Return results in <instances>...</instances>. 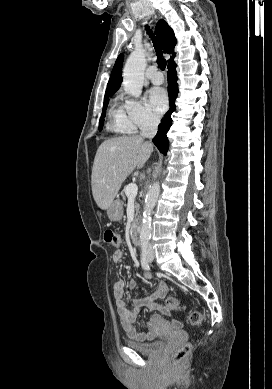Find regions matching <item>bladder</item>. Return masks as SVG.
I'll list each match as a JSON object with an SVG mask.
<instances>
[{"label": "bladder", "instance_id": "31cf9c89", "mask_svg": "<svg viewBox=\"0 0 272 389\" xmlns=\"http://www.w3.org/2000/svg\"><path fill=\"white\" fill-rule=\"evenodd\" d=\"M126 343L132 349L146 355H157L161 353L166 347V343L163 340H156L152 342H137L133 340H127Z\"/></svg>", "mask_w": 272, "mask_h": 389}]
</instances>
